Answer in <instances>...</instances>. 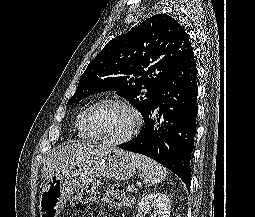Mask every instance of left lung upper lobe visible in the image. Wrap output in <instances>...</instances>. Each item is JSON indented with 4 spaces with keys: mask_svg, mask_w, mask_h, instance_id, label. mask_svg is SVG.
<instances>
[{
    "mask_svg": "<svg viewBox=\"0 0 255 217\" xmlns=\"http://www.w3.org/2000/svg\"><path fill=\"white\" fill-rule=\"evenodd\" d=\"M191 50L180 24L169 15L156 14L104 47L87 66L67 105L94 93L117 91L144 119L164 78Z\"/></svg>",
    "mask_w": 255,
    "mask_h": 217,
    "instance_id": "left-lung-upper-lobe-1",
    "label": "left lung upper lobe"
}]
</instances>
